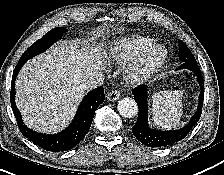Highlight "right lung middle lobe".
<instances>
[{
  "label": "right lung middle lobe",
  "mask_w": 224,
  "mask_h": 175,
  "mask_svg": "<svg viewBox=\"0 0 224 175\" xmlns=\"http://www.w3.org/2000/svg\"><path fill=\"white\" fill-rule=\"evenodd\" d=\"M67 30L63 27H57L47 32L41 39L32 44L21 56L19 61H27L32 57L44 52L54 42L58 41Z\"/></svg>",
  "instance_id": "1"
}]
</instances>
